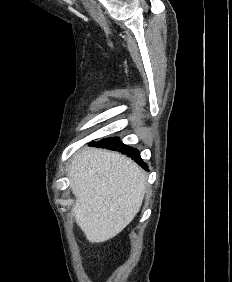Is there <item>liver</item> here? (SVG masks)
Returning a JSON list of instances; mask_svg holds the SVG:
<instances>
[{
  "mask_svg": "<svg viewBox=\"0 0 232 282\" xmlns=\"http://www.w3.org/2000/svg\"><path fill=\"white\" fill-rule=\"evenodd\" d=\"M68 175L76 197L73 214L91 243L119 234L136 216L146 189V173L118 152L84 148Z\"/></svg>",
  "mask_w": 232,
  "mask_h": 282,
  "instance_id": "6515ba94",
  "label": "liver"
}]
</instances>
